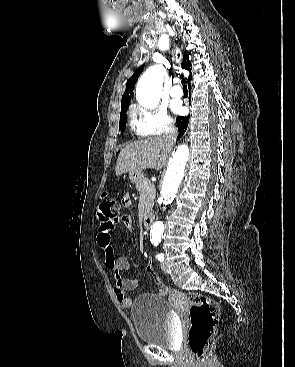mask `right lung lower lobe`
I'll list each match as a JSON object with an SVG mask.
<instances>
[{
	"mask_svg": "<svg viewBox=\"0 0 295 367\" xmlns=\"http://www.w3.org/2000/svg\"><path fill=\"white\" fill-rule=\"evenodd\" d=\"M189 118H190L189 116L186 117L178 116L176 118V123L179 131L178 138L182 137V135L185 133L189 123Z\"/></svg>",
	"mask_w": 295,
	"mask_h": 367,
	"instance_id": "obj_1",
	"label": "right lung lower lobe"
}]
</instances>
